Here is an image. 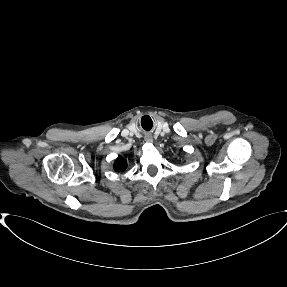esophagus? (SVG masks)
<instances>
[{
  "label": "esophagus",
  "instance_id": "obj_1",
  "mask_svg": "<svg viewBox=\"0 0 287 287\" xmlns=\"http://www.w3.org/2000/svg\"><path fill=\"white\" fill-rule=\"evenodd\" d=\"M145 140H146L147 142H152V141H153V139H152L150 136L146 137Z\"/></svg>",
  "mask_w": 287,
  "mask_h": 287
}]
</instances>
